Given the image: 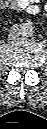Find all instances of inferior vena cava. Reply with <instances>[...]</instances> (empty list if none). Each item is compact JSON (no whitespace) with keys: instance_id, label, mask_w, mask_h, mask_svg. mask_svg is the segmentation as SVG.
Masks as SVG:
<instances>
[{"instance_id":"obj_1","label":"inferior vena cava","mask_w":47,"mask_h":129,"mask_svg":"<svg viewBox=\"0 0 47 129\" xmlns=\"http://www.w3.org/2000/svg\"><path fill=\"white\" fill-rule=\"evenodd\" d=\"M18 36H19L18 27H12V28L10 29V32H9L8 37H9L10 39H15V38H17Z\"/></svg>"}]
</instances>
